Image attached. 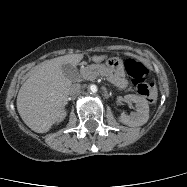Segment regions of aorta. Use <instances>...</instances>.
Wrapping results in <instances>:
<instances>
[{"label":"aorta","instance_id":"1","mask_svg":"<svg viewBox=\"0 0 187 187\" xmlns=\"http://www.w3.org/2000/svg\"><path fill=\"white\" fill-rule=\"evenodd\" d=\"M90 90H91V92L96 93V92H97V87H96V85H91V86H90Z\"/></svg>","mask_w":187,"mask_h":187}]
</instances>
